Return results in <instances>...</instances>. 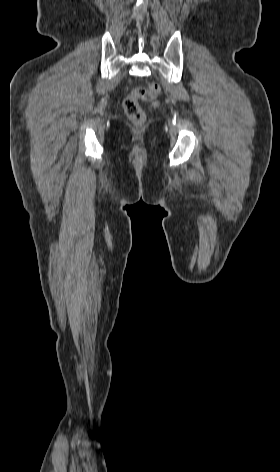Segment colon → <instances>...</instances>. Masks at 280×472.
<instances>
[{
	"label": "colon",
	"mask_w": 280,
	"mask_h": 472,
	"mask_svg": "<svg viewBox=\"0 0 280 472\" xmlns=\"http://www.w3.org/2000/svg\"><path fill=\"white\" fill-rule=\"evenodd\" d=\"M160 92L161 88L157 83H149L146 86L133 88L123 103L126 115L134 123L142 124L145 121V113L140 101H152L159 96Z\"/></svg>",
	"instance_id": "1"
}]
</instances>
